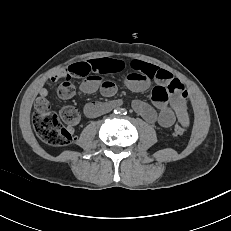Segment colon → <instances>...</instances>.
<instances>
[{
	"label": "colon",
	"mask_w": 231,
	"mask_h": 231,
	"mask_svg": "<svg viewBox=\"0 0 231 231\" xmlns=\"http://www.w3.org/2000/svg\"><path fill=\"white\" fill-rule=\"evenodd\" d=\"M70 68L67 80L58 88V95L61 98H69L73 95L74 85L70 78L80 74L76 69ZM78 121L79 113L74 107L65 106L58 114L50 109L48 102L36 108L32 118L37 136L45 143L55 147L68 146L72 142L73 136L70 127L77 124ZM186 129L185 123L178 122L173 129V134L175 136L182 135Z\"/></svg>",
	"instance_id": "obj_1"
}]
</instances>
